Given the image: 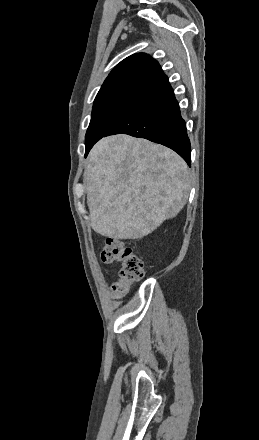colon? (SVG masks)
Wrapping results in <instances>:
<instances>
[{
  "mask_svg": "<svg viewBox=\"0 0 259 440\" xmlns=\"http://www.w3.org/2000/svg\"><path fill=\"white\" fill-rule=\"evenodd\" d=\"M101 259L108 264H119L118 280L113 284V292L117 297L124 296L130 286L141 280L145 273L144 262L133 249L122 241L107 238L101 251Z\"/></svg>",
  "mask_w": 259,
  "mask_h": 440,
  "instance_id": "5ec220e1",
  "label": "colon"
}]
</instances>
